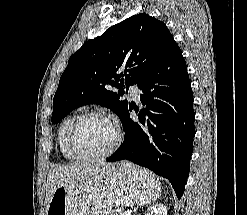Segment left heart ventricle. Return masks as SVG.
<instances>
[{"instance_id": "1", "label": "left heart ventricle", "mask_w": 247, "mask_h": 215, "mask_svg": "<svg viewBox=\"0 0 247 215\" xmlns=\"http://www.w3.org/2000/svg\"><path fill=\"white\" fill-rule=\"evenodd\" d=\"M115 129L105 120L91 118L83 121L76 132V145L80 152L97 154L106 151L114 142Z\"/></svg>"}]
</instances>
